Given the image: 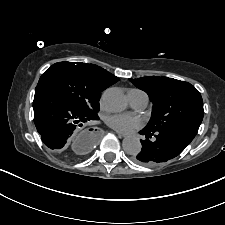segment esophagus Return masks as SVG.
Listing matches in <instances>:
<instances>
[{"label": "esophagus", "instance_id": "1", "mask_svg": "<svg viewBox=\"0 0 225 225\" xmlns=\"http://www.w3.org/2000/svg\"><path fill=\"white\" fill-rule=\"evenodd\" d=\"M116 133H117L120 137H125V136H126V134L123 133V132L116 131Z\"/></svg>", "mask_w": 225, "mask_h": 225}]
</instances>
